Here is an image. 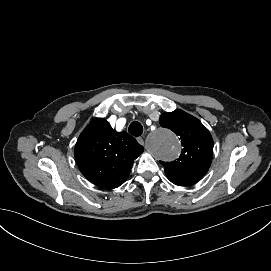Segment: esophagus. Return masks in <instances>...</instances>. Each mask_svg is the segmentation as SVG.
<instances>
[{"label": "esophagus", "instance_id": "obj_1", "mask_svg": "<svg viewBox=\"0 0 271 271\" xmlns=\"http://www.w3.org/2000/svg\"><path fill=\"white\" fill-rule=\"evenodd\" d=\"M136 139L139 144L144 145V140L141 137H137Z\"/></svg>", "mask_w": 271, "mask_h": 271}]
</instances>
